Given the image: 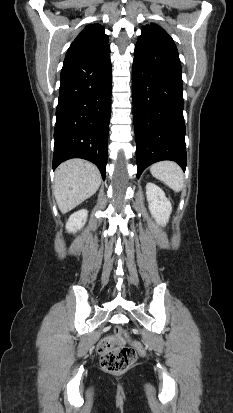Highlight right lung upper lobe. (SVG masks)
<instances>
[{
    "mask_svg": "<svg viewBox=\"0 0 233 413\" xmlns=\"http://www.w3.org/2000/svg\"><path fill=\"white\" fill-rule=\"evenodd\" d=\"M108 36L99 24L85 27L70 45L66 57L89 53L108 44Z\"/></svg>",
    "mask_w": 233,
    "mask_h": 413,
    "instance_id": "1",
    "label": "right lung upper lobe"
}]
</instances>
